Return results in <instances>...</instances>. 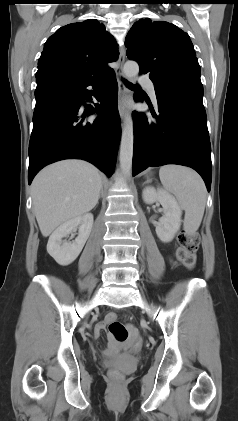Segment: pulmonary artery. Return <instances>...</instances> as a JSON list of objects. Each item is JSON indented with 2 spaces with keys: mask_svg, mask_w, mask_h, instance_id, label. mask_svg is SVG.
Returning <instances> with one entry per match:
<instances>
[{
  "mask_svg": "<svg viewBox=\"0 0 238 421\" xmlns=\"http://www.w3.org/2000/svg\"><path fill=\"white\" fill-rule=\"evenodd\" d=\"M139 83L145 86L151 98L156 102L155 86L153 82L147 77H140Z\"/></svg>",
  "mask_w": 238,
  "mask_h": 421,
  "instance_id": "pulmonary-artery-1",
  "label": "pulmonary artery"
}]
</instances>
